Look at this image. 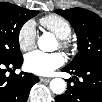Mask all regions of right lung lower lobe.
I'll use <instances>...</instances> for the list:
<instances>
[{"instance_id": "right-lung-lower-lobe-1", "label": "right lung lower lobe", "mask_w": 102, "mask_h": 102, "mask_svg": "<svg viewBox=\"0 0 102 102\" xmlns=\"http://www.w3.org/2000/svg\"><path fill=\"white\" fill-rule=\"evenodd\" d=\"M23 63V57L19 56L11 61H0V100L4 102H26L31 87L39 81V78L31 73L17 75L14 72L6 76V69H18Z\"/></svg>"}]
</instances>
